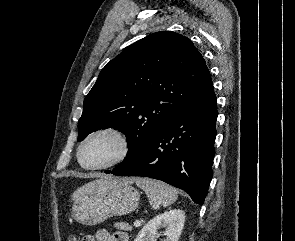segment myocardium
Segmentation results:
<instances>
[{
    "label": "myocardium",
    "mask_w": 295,
    "mask_h": 241,
    "mask_svg": "<svg viewBox=\"0 0 295 241\" xmlns=\"http://www.w3.org/2000/svg\"><path fill=\"white\" fill-rule=\"evenodd\" d=\"M99 134H111L118 138V140L121 143V152L120 154L112 161L102 164V165H97V166H87L85 165L82 160H81V152L84 147V145L94 136L99 135ZM132 151V145L129 136L120 128L114 127V126H105V127H100L97 128L93 131H91L88 135L84 137V139L80 142L78 149H77V160L80 166L86 170H104V169H109L113 168L115 166H118L125 162L128 157L130 156Z\"/></svg>",
    "instance_id": "myocardium-1"
}]
</instances>
